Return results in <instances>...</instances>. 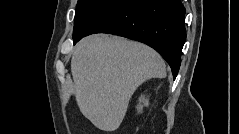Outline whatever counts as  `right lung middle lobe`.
I'll return each instance as SVG.
<instances>
[{
  "label": "right lung middle lobe",
  "instance_id": "1",
  "mask_svg": "<svg viewBox=\"0 0 239 134\" xmlns=\"http://www.w3.org/2000/svg\"><path fill=\"white\" fill-rule=\"evenodd\" d=\"M120 0H78L73 40L81 37L91 25Z\"/></svg>",
  "mask_w": 239,
  "mask_h": 134
}]
</instances>
